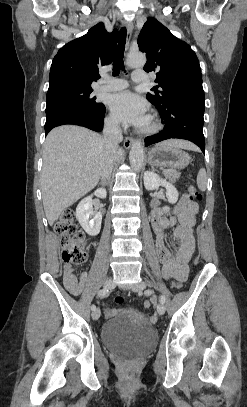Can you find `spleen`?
Returning <instances> with one entry per match:
<instances>
[{
	"label": "spleen",
	"instance_id": "1",
	"mask_svg": "<svg viewBox=\"0 0 247 407\" xmlns=\"http://www.w3.org/2000/svg\"><path fill=\"white\" fill-rule=\"evenodd\" d=\"M197 186L201 191H205L207 187V175L204 168H200L197 175Z\"/></svg>",
	"mask_w": 247,
	"mask_h": 407
}]
</instances>
